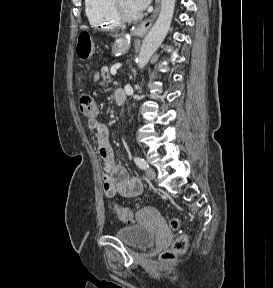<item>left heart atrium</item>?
Returning a JSON list of instances; mask_svg holds the SVG:
<instances>
[{"label": "left heart atrium", "instance_id": "obj_1", "mask_svg": "<svg viewBox=\"0 0 273 288\" xmlns=\"http://www.w3.org/2000/svg\"><path fill=\"white\" fill-rule=\"evenodd\" d=\"M129 2L131 6L139 13L148 6L150 0H129Z\"/></svg>", "mask_w": 273, "mask_h": 288}]
</instances>
